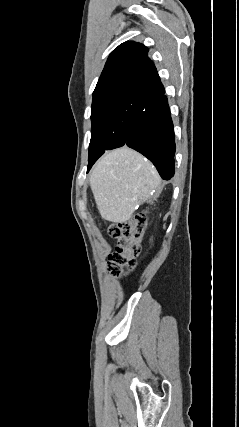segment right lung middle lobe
Returning <instances> with one entry per match:
<instances>
[{
	"label": "right lung middle lobe",
	"mask_w": 239,
	"mask_h": 427,
	"mask_svg": "<svg viewBox=\"0 0 239 427\" xmlns=\"http://www.w3.org/2000/svg\"><path fill=\"white\" fill-rule=\"evenodd\" d=\"M146 104V99L139 97L105 99L92 104L88 170L106 150L125 143L135 118Z\"/></svg>",
	"instance_id": "1"
}]
</instances>
